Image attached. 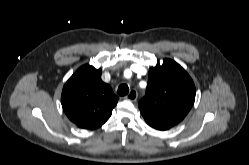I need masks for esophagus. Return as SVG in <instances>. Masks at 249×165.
I'll use <instances>...</instances> for the list:
<instances>
[{
  "mask_svg": "<svg viewBox=\"0 0 249 165\" xmlns=\"http://www.w3.org/2000/svg\"><path fill=\"white\" fill-rule=\"evenodd\" d=\"M137 97H138L137 91L131 90L129 94L126 96V99L130 101H136Z\"/></svg>",
  "mask_w": 249,
  "mask_h": 165,
  "instance_id": "34e87169",
  "label": "esophagus"
}]
</instances>
